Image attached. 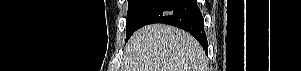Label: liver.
<instances>
[{
  "instance_id": "6515ba94",
  "label": "liver",
  "mask_w": 301,
  "mask_h": 71,
  "mask_svg": "<svg viewBox=\"0 0 301 71\" xmlns=\"http://www.w3.org/2000/svg\"><path fill=\"white\" fill-rule=\"evenodd\" d=\"M123 71H206L197 40L173 26L153 24L137 30L124 50Z\"/></svg>"
}]
</instances>
